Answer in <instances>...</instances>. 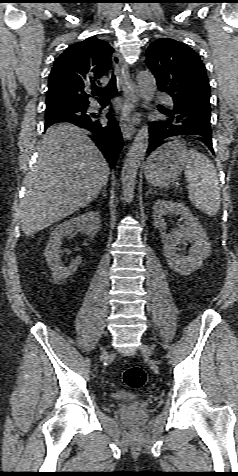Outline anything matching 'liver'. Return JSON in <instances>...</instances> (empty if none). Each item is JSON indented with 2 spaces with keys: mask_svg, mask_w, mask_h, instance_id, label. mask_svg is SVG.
I'll return each instance as SVG.
<instances>
[{
  "mask_svg": "<svg viewBox=\"0 0 238 476\" xmlns=\"http://www.w3.org/2000/svg\"><path fill=\"white\" fill-rule=\"evenodd\" d=\"M38 154L25 178L20 213L25 236L87 206L110 175L108 163L87 133L71 124L50 127Z\"/></svg>",
  "mask_w": 238,
  "mask_h": 476,
  "instance_id": "liver-1",
  "label": "liver"
}]
</instances>
